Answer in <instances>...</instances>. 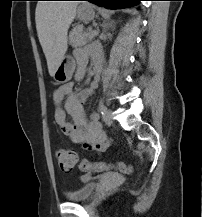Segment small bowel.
<instances>
[{
    "label": "small bowel",
    "mask_w": 202,
    "mask_h": 217,
    "mask_svg": "<svg viewBox=\"0 0 202 217\" xmlns=\"http://www.w3.org/2000/svg\"><path fill=\"white\" fill-rule=\"evenodd\" d=\"M77 60V70L75 79L81 80L86 72L88 56L82 50L75 52ZM100 62L96 58L93 68L99 67ZM98 79H93L91 83L81 92H74L72 82L59 86L54 91L55 121L61 132L68 135L72 142L79 144L89 151L103 152L110 146L104 131L99 123V116L93 113L87 119L83 104L94 94L98 87ZM68 116L70 120H68Z\"/></svg>",
    "instance_id": "small-bowel-1"
}]
</instances>
